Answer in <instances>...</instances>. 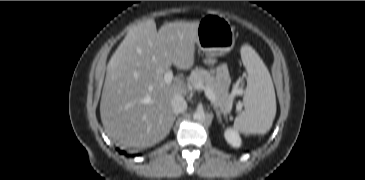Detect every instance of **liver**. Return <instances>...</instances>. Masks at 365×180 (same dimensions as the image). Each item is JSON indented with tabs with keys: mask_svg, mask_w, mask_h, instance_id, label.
<instances>
[{
	"mask_svg": "<svg viewBox=\"0 0 365 180\" xmlns=\"http://www.w3.org/2000/svg\"><path fill=\"white\" fill-rule=\"evenodd\" d=\"M199 21L170 22L157 32L153 20L129 28L107 65L100 115L105 131L120 144L151 147L170 132L174 121L171 100L185 96L184 80L171 84L164 74L174 65L194 64Z\"/></svg>",
	"mask_w": 365,
	"mask_h": 180,
	"instance_id": "1",
	"label": "liver"
}]
</instances>
